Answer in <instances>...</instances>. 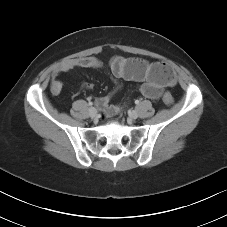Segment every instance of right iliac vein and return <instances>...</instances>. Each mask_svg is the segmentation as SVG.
Wrapping results in <instances>:
<instances>
[{"instance_id": "63e3f726", "label": "right iliac vein", "mask_w": 227, "mask_h": 227, "mask_svg": "<svg viewBox=\"0 0 227 227\" xmlns=\"http://www.w3.org/2000/svg\"><path fill=\"white\" fill-rule=\"evenodd\" d=\"M89 115H90V117H92V118H95V117H97V110L93 107V108H90L89 109Z\"/></svg>"}]
</instances>
